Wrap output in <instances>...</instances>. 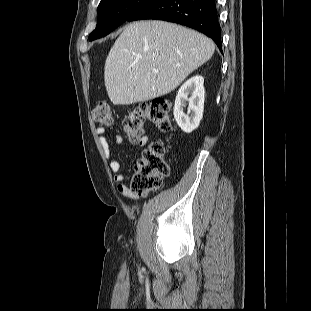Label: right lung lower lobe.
<instances>
[{
	"label": "right lung lower lobe",
	"mask_w": 311,
	"mask_h": 311,
	"mask_svg": "<svg viewBox=\"0 0 311 311\" xmlns=\"http://www.w3.org/2000/svg\"><path fill=\"white\" fill-rule=\"evenodd\" d=\"M144 19L164 20L196 29L212 38L222 51L215 0H153L127 21Z\"/></svg>",
	"instance_id": "obj_1"
}]
</instances>
